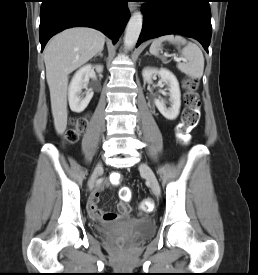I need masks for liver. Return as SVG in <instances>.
I'll use <instances>...</instances> for the list:
<instances>
[{
  "instance_id": "1",
  "label": "liver",
  "mask_w": 258,
  "mask_h": 275,
  "mask_svg": "<svg viewBox=\"0 0 258 275\" xmlns=\"http://www.w3.org/2000/svg\"><path fill=\"white\" fill-rule=\"evenodd\" d=\"M105 35L95 29H67L47 44L44 50L46 79L50 90L54 127L58 135L67 127V89L71 72L103 50Z\"/></svg>"
}]
</instances>
